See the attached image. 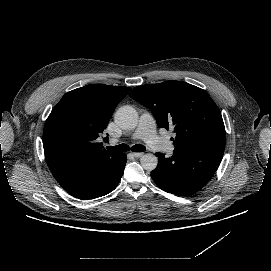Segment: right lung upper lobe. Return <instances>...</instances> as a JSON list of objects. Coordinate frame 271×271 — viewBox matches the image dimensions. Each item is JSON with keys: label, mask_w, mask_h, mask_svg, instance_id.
Listing matches in <instances>:
<instances>
[{"label": "right lung upper lobe", "mask_w": 271, "mask_h": 271, "mask_svg": "<svg viewBox=\"0 0 271 271\" xmlns=\"http://www.w3.org/2000/svg\"><path fill=\"white\" fill-rule=\"evenodd\" d=\"M131 88L90 84L66 93L48 116L43 147L50 171L60 185L96 163L119 153L95 140L103 133L118 103Z\"/></svg>", "instance_id": "obj_1"}]
</instances>
